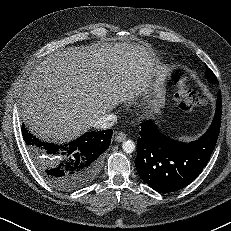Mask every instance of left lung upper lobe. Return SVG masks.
Returning a JSON list of instances; mask_svg holds the SVG:
<instances>
[{
	"label": "left lung upper lobe",
	"mask_w": 231,
	"mask_h": 231,
	"mask_svg": "<svg viewBox=\"0 0 231 231\" xmlns=\"http://www.w3.org/2000/svg\"><path fill=\"white\" fill-rule=\"evenodd\" d=\"M205 75L211 82L217 83V78L210 69H208V68L206 69Z\"/></svg>",
	"instance_id": "left-lung-upper-lobe-1"
}]
</instances>
